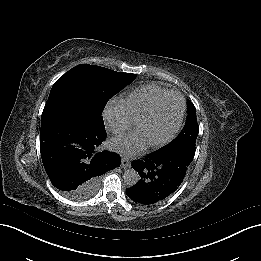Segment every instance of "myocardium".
<instances>
[{"label":"myocardium","instance_id":"f54148a6","mask_svg":"<svg viewBox=\"0 0 261 261\" xmlns=\"http://www.w3.org/2000/svg\"><path fill=\"white\" fill-rule=\"evenodd\" d=\"M173 104H177L179 106V116H178L177 122L174 125V127L165 136H163L162 138H160L158 140L147 141V140L139 139L141 141V143L146 146H159V145L166 143L177 133V131L180 129V127L183 123L186 106H185L184 99L180 96H174V97L170 98L169 100H167L166 102H163V103L151 108L150 110H148L147 112H145L144 114L139 116L134 121V123L130 129V134L137 137L136 132H137L138 125L144 118L158 114Z\"/></svg>","mask_w":261,"mask_h":261}]
</instances>
